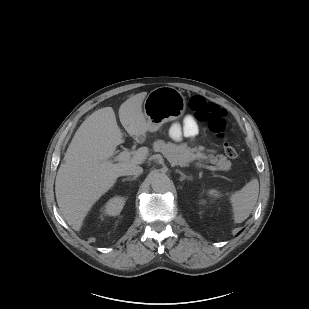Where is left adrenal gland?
Returning a JSON list of instances; mask_svg holds the SVG:
<instances>
[{"label":"left adrenal gland","instance_id":"1","mask_svg":"<svg viewBox=\"0 0 309 309\" xmlns=\"http://www.w3.org/2000/svg\"><path fill=\"white\" fill-rule=\"evenodd\" d=\"M176 172L179 173V174L181 175L180 181H183V180H185V179H188V180L191 179L190 176L185 175V174H184L183 172H181L180 170H176Z\"/></svg>","mask_w":309,"mask_h":309}]
</instances>
